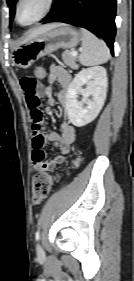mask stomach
I'll return each mask as SVG.
<instances>
[{
	"label": "stomach",
	"mask_w": 134,
	"mask_h": 281,
	"mask_svg": "<svg viewBox=\"0 0 134 281\" xmlns=\"http://www.w3.org/2000/svg\"><path fill=\"white\" fill-rule=\"evenodd\" d=\"M80 40L81 33L75 28L65 24H57L56 27L14 48L11 60L17 67L27 69L40 57L59 48H73Z\"/></svg>",
	"instance_id": "obj_1"
}]
</instances>
